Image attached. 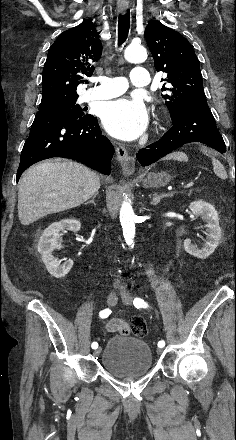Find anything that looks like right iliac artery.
I'll return each mask as SVG.
<instances>
[{"instance_id": "82829eb1", "label": "right iliac artery", "mask_w": 236, "mask_h": 440, "mask_svg": "<svg viewBox=\"0 0 236 440\" xmlns=\"http://www.w3.org/2000/svg\"><path fill=\"white\" fill-rule=\"evenodd\" d=\"M110 313H111V310H109V309H104V310L100 311L99 316H100L101 318H107V317L110 315ZM91 347H92L93 349H97V348H98V343H97V342H93L92 345H91Z\"/></svg>"}]
</instances>
